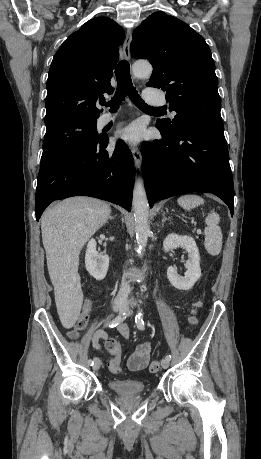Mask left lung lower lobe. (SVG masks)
<instances>
[{"label": "left lung lower lobe", "mask_w": 261, "mask_h": 459, "mask_svg": "<svg viewBox=\"0 0 261 459\" xmlns=\"http://www.w3.org/2000/svg\"><path fill=\"white\" fill-rule=\"evenodd\" d=\"M162 140L146 142L142 151L150 207L188 192H210L233 215L234 187L223 126H198L170 133L156 124Z\"/></svg>", "instance_id": "obj_1"}]
</instances>
